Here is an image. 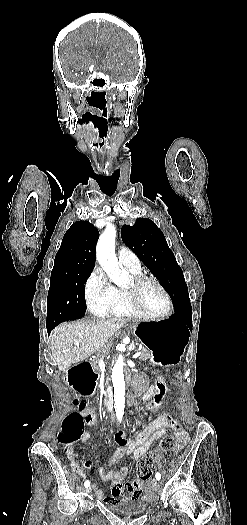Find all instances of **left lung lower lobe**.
I'll use <instances>...</instances> for the list:
<instances>
[{
	"mask_svg": "<svg viewBox=\"0 0 247 525\" xmlns=\"http://www.w3.org/2000/svg\"><path fill=\"white\" fill-rule=\"evenodd\" d=\"M170 321L180 324L184 323L188 327L192 328V310L177 312L171 316Z\"/></svg>",
	"mask_w": 247,
	"mask_h": 525,
	"instance_id": "0a47b994",
	"label": "left lung lower lobe"
}]
</instances>
